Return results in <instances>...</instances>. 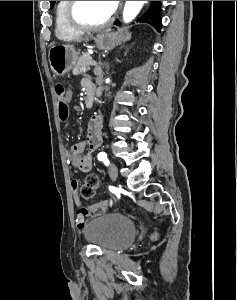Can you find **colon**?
<instances>
[{
    "label": "colon",
    "mask_w": 237,
    "mask_h": 300,
    "mask_svg": "<svg viewBox=\"0 0 237 300\" xmlns=\"http://www.w3.org/2000/svg\"><path fill=\"white\" fill-rule=\"evenodd\" d=\"M56 93L58 96V99L60 101L59 105V115L63 122L67 121L69 117V109H68V100L66 99V93L67 91L65 88L58 84L56 86ZM99 185L98 177L91 174L88 175L84 181V183L80 186L79 193L81 198L84 200H89L94 197L96 190Z\"/></svg>",
    "instance_id": "5ec220e1"
}]
</instances>
